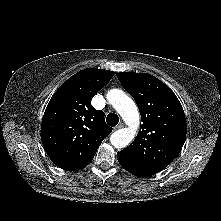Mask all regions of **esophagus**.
<instances>
[{"mask_svg": "<svg viewBox=\"0 0 221 221\" xmlns=\"http://www.w3.org/2000/svg\"><path fill=\"white\" fill-rule=\"evenodd\" d=\"M123 127H124V124H123V123H120V124H118V125L114 128V130H119V129L123 128Z\"/></svg>", "mask_w": 221, "mask_h": 221, "instance_id": "obj_1", "label": "esophagus"}]
</instances>
